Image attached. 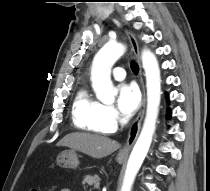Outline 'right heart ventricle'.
Returning <instances> with one entry per match:
<instances>
[{"label":"right heart ventricle","instance_id":"obj_1","mask_svg":"<svg viewBox=\"0 0 210 191\" xmlns=\"http://www.w3.org/2000/svg\"><path fill=\"white\" fill-rule=\"evenodd\" d=\"M73 122L80 130L94 133L107 134L114 131V123L107 118L106 106L93 98L86 88L76 94L72 106Z\"/></svg>","mask_w":210,"mask_h":191}]
</instances>
